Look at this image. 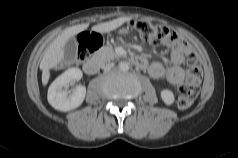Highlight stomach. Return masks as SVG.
<instances>
[{"mask_svg": "<svg viewBox=\"0 0 238 158\" xmlns=\"http://www.w3.org/2000/svg\"><path fill=\"white\" fill-rule=\"evenodd\" d=\"M120 33L121 34H128L129 33V29L123 28V29L120 30Z\"/></svg>", "mask_w": 238, "mask_h": 158, "instance_id": "1", "label": "stomach"}]
</instances>
